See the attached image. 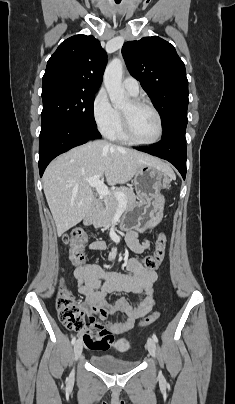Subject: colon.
<instances>
[{"label":"colon","mask_w":235,"mask_h":404,"mask_svg":"<svg viewBox=\"0 0 235 404\" xmlns=\"http://www.w3.org/2000/svg\"><path fill=\"white\" fill-rule=\"evenodd\" d=\"M88 240L87 233L82 229L70 231L64 237V243L70 246V259L76 266H83L85 256L83 247ZM166 237L161 234L156 241V249L152 255L143 257L139 262L147 269L155 271L160 267L165 256ZM56 309L59 320L69 329H80L84 323L87 328H92L102 332L103 344H108L112 341V334L105 331V327L99 323L95 316L88 315L86 321L84 317V309L75 302L72 294L66 289L64 284H60L56 298ZM160 317L159 311H154L151 314L140 320V325H149L155 322Z\"/></svg>","instance_id":"obj_1"}]
</instances>
